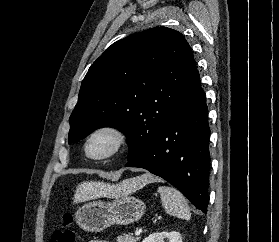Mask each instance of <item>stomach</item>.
<instances>
[{
    "label": "stomach",
    "instance_id": "obj_1",
    "mask_svg": "<svg viewBox=\"0 0 279 242\" xmlns=\"http://www.w3.org/2000/svg\"><path fill=\"white\" fill-rule=\"evenodd\" d=\"M111 193H115L111 202L91 201L77 209L75 220L81 229L100 232L114 224L134 223L144 215L145 203L126 193L122 185Z\"/></svg>",
    "mask_w": 279,
    "mask_h": 242
}]
</instances>
